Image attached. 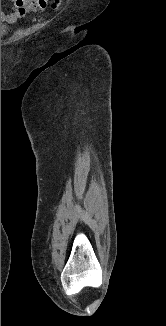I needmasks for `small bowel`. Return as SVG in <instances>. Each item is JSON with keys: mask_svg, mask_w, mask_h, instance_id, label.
I'll return each mask as SVG.
<instances>
[{"mask_svg": "<svg viewBox=\"0 0 166 326\" xmlns=\"http://www.w3.org/2000/svg\"><path fill=\"white\" fill-rule=\"evenodd\" d=\"M9 11L1 10V21L14 22L29 12L41 13L48 5V0H7Z\"/></svg>", "mask_w": 166, "mask_h": 326, "instance_id": "small-bowel-1", "label": "small bowel"}]
</instances>
